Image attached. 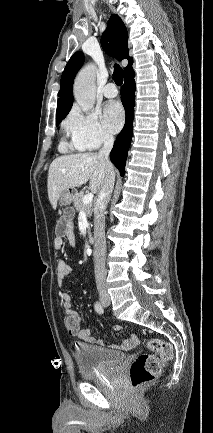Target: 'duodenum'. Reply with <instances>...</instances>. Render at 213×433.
I'll return each mask as SVG.
<instances>
[{
    "label": "duodenum",
    "instance_id": "duodenum-1",
    "mask_svg": "<svg viewBox=\"0 0 213 433\" xmlns=\"http://www.w3.org/2000/svg\"><path fill=\"white\" fill-rule=\"evenodd\" d=\"M88 240H89V243L92 245L95 244V242H96L95 236L93 234L89 235Z\"/></svg>",
    "mask_w": 213,
    "mask_h": 433
}]
</instances>
